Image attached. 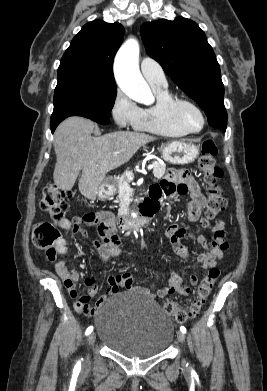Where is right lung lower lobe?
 Wrapping results in <instances>:
<instances>
[{
  "label": "right lung lower lobe",
  "mask_w": 267,
  "mask_h": 391,
  "mask_svg": "<svg viewBox=\"0 0 267 391\" xmlns=\"http://www.w3.org/2000/svg\"><path fill=\"white\" fill-rule=\"evenodd\" d=\"M61 121L55 122V123H50L51 131L52 133L55 131L56 127Z\"/></svg>",
  "instance_id": "right-lung-lower-lobe-1"
}]
</instances>
